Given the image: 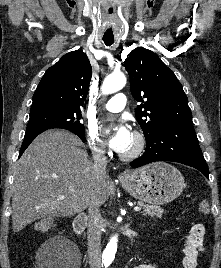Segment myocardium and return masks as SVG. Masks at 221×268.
Instances as JSON below:
<instances>
[{
    "label": "myocardium",
    "instance_id": "f54148a6",
    "mask_svg": "<svg viewBox=\"0 0 221 268\" xmlns=\"http://www.w3.org/2000/svg\"><path fill=\"white\" fill-rule=\"evenodd\" d=\"M133 136L136 140V146L130 153H121L120 158L124 161L134 160L142 155L146 147V138L140 131H134Z\"/></svg>",
    "mask_w": 221,
    "mask_h": 268
}]
</instances>
